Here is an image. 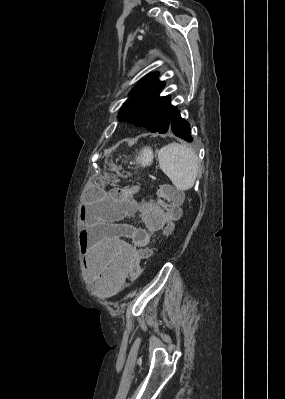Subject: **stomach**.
I'll return each mask as SVG.
<instances>
[{"label":"stomach","mask_w":285,"mask_h":399,"mask_svg":"<svg viewBox=\"0 0 285 399\" xmlns=\"http://www.w3.org/2000/svg\"><path fill=\"white\" fill-rule=\"evenodd\" d=\"M152 160H153V155L150 149H144L136 158V161L142 164V166L151 164Z\"/></svg>","instance_id":"1"}]
</instances>
